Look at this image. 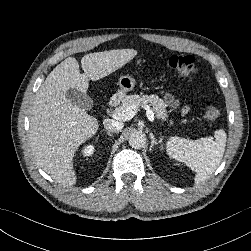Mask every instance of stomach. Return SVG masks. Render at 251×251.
Returning a JSON list of instances; mask_svg holds the SVG:
<instances>
[{"label": "stomach", "mask_w": 251, "mask_h": 251, "mask_svg": "<svg viewBox=\"0 0 251 251\" xmlns=\"http://www.w3.org/2000/svg\"><path fill=\"white\" fill-rule=\"evenodd\" d=\"M136 81L129 75L122 76L119 79L118 85L120 89L117 92V95L123 97L127 92L132 91L135 87Z\"/></svg>", "instance_id": "1"}]
</instances>
